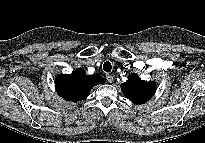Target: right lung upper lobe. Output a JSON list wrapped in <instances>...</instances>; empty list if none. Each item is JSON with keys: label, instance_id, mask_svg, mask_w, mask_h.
<instances>
[{"label": "right lung upper lobe", "instance_id": "obj_1", "mask_svg": "<svg viewBox=\"0 0 205 143\" xmlns=\"http://www.w3.org/2000/svg\"><path fill=\"white\" fill-rule=\"evenodd\" d=\"M103 82L99 74L87 75L81 68L71 74L59 75L55 79L57 93L65 100H85L92 87Z\"/></svg>", "mask_w": 205, "mask_h": 143}]
</instances>
